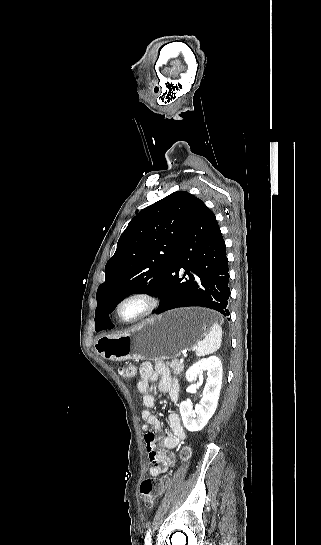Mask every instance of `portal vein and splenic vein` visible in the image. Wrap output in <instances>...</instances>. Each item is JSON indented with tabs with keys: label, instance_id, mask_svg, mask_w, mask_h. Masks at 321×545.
Masks as SVG:
<instances>
[{
	"label": "portal vein and splenic vein",
	"instance_id": "18ae733b",
	"mask_svg": "<svg viewBox=\"0 0 321 545\" xmlns=\"http://www.w3.org/2000/svg\"><path fill=\"white\" fill-rule=\"evenodd\" d=\"M184 358H180V361H186V358H188L187 353H183Z\"/></svg>",
	"mask_w": 321,
	"mask_h": 545
}]
</instances>
